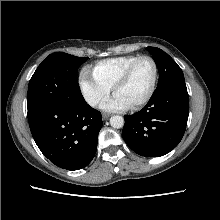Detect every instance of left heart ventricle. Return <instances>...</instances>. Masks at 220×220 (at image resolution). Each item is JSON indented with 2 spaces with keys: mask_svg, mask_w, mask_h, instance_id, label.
Returning a JSON list of instances; mask_svg holds the SVG:
<instances>
[{
  "mask_svg": "<svg viewBox=\"0 0 220 220\" xmlns=\"http://www.w3.org/2000/svg\"><path fill=\"white\" fill-rule=\"evenodd\" d=\"M154 76V68L149 60L140 61L128 81L116 91L129 106L142 100L149 92Z\"/></svg>",
  "mask_w": 220,
  "mask_h": 220,
  "instance_id": "left-heart-ventricle-1",
  "label": "left heart ventricle"
}]
</instances>
